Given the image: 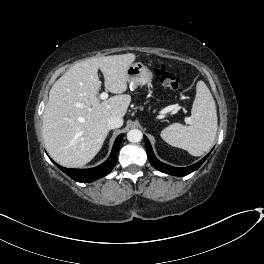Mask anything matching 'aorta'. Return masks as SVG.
<instances>
[{"mask_svg": "<svg viewBox=\"0 0 264 264\" xmlns=\"http://www.w3.org/2000/svg\"><path fill=\"white\" fill-rule=\"evenodd\" d=\"M142 137H143V134L139 129H132V130H129L127 133V139L128 141L132 143L141 141Z\"/></svg>", "mask_w": 264, "mask_h": 264, "instance_id": "762f6f07", "label": "aorta"}]
</instances>
